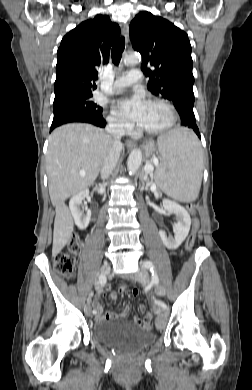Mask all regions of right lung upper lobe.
<instances>
[{"mask_svg":"<svg viewBox=\"0 0 252 390\" xmlns=\"http://www.w3.org/2000/svg\"><path fill=\"white\" fill-rule=\"evenodd\" d=\"M120 28L106 15L82 22L67 33L57 51L55 99L92 94L98 69L109 61L111 45Z\"/></svg>","mask_w":252,"mask_h":390,"instance_id":"obj_1","label":"right lung upper lobe"}]
</instances>
